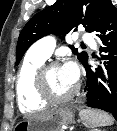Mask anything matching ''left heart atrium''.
<instances>
[{
  "instance_id": "left-heart-atrium-1",
  "label": "left heart atrium",
  "mask_w": 117,
  "mask_h": 131,
  "mask_svg": "<svg viewBox=\"0 0 117 131\" xmlns=\"http://www.w3.org/2000/svg\"><path fill=\"white\" fill-rule=\"evenodd\" d=\"M61 68L65 77L71 83L75 84L79 78V70H78L77 65L74 62L69 61L66 64H64Z\"/></svg>"
}]
</instances>
